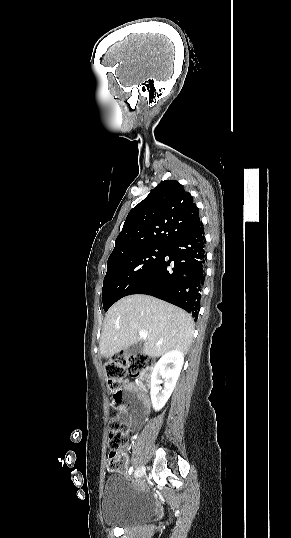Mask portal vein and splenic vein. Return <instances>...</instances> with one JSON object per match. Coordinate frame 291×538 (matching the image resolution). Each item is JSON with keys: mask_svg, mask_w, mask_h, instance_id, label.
<instances>
[{"mask_svg": "<svg viewBox=\"0 0 291 538\" xmlns=\"http://www.w3.org/2000/svg\"><path fill=\"white\" fill-rule=\"evenodd\" d=\"M139 336H140L141 338H143V339H146V337H147V333H146L145 331H143V330H140V331H139Z\"/></svg>", "mask_w": 291, "mask_h": 538, "instance_id": "portal-vein-and-splenic-vein-1", "label": "portal vein and splenic vein"}]
</instances>
